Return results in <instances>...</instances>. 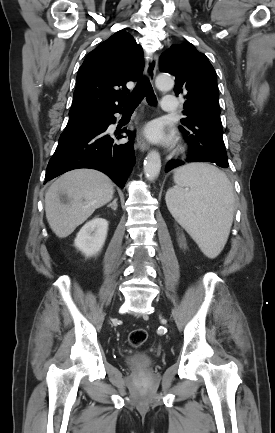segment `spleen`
Here are the masks:
<instances>
[{"mask_svg":"<svg viewBox=\"0 0 275 433\" xmlns=\"http://www.w3.org/2000/svg\"><path fill=\"white\" fill-rule=\"evenodd\" d=\"M173 178L176 185L165 198L169 211L201 251L215 258L233 222L234 194L229 179L218 168L204 163L180 167Z\"/></svg>","mask_w":275,"mask_h":433,"instance_id":"1","label":"spleen"}]
</instances>
